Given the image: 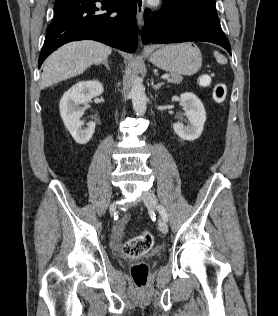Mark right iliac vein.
Returning a JSON list of instances; mask_svg holds the SVG:
<instances>
[{
	"instance_id": "obj_1",
	"label": "right iliac vein",
	"mask_w": 278,
	"mask_h": 316,
	"mask_svg": "<svg viewBox=\"0 0 278 316\" xmlns=\"http://www.w3.org/2000/svg\"><path fill=\"white\" fill-rule=\"evenodd\" d=\"M115 211H116V204L113 203V204H111V206H110V213H111V214H114Z\"/></svg>"
}]
</instances>
